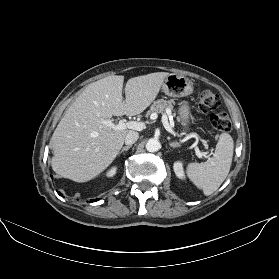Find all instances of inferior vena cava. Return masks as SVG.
Instances as JSON below:
<instances>
[{
	"label": "inferior vena cava",
	"mask_w": 279,
	"mask_h": 279,
	"mask_svg": "<svg viewBox=\"0 0 279 279\" xmlns=\"http://www.w3.org/2000/svg\"><path fill=\"white\" fill-rule=\"evenodd\" d=\"M138 138H139V133L136 131L130 130L125 137V144L132 145L138 140Z\"/></svg>",
	"instance_id": "inferior-vena-cava-1"
}]
</instances>
